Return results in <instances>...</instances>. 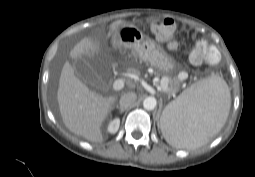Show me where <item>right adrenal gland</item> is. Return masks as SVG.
<instances>
[{
  "instance_id": "right-adrenal-gland-1",
  "label": "right adrenal gland",
  "mask_w": 255,
  "mask_h": 177,
  "mask_svg": "<svg viewBox=\"0 0 255 177\" xmlns=\"http://www.w3.org/2000/svg\"><path fill=\"white\" fill-rule=\"evenodd\" d=\"M116 108L120 110V113H121V114L125 111L124 108H121V107H119L118 105L116 106Z\"/></svg>"
}]
</instances>
